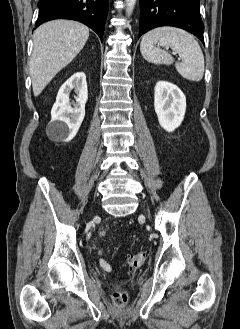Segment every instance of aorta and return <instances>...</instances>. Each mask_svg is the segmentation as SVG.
<instances>
[{
  "mask_svg": "<svg viewBox=\"0 0 240 329\" xmlns=\"http://www.w3.org/2000/svg\"><path fill=\"white\" fill-rule=\"evenodd\" d=\"M126 1V14L129 17L134 9V6L136 4V0H125Z\"/></svg>",
  "mask_w": 240,
  "mask_h": 329,
  "instance_id": "obj_1",
  "label": "aorta"
}]
</instances>
